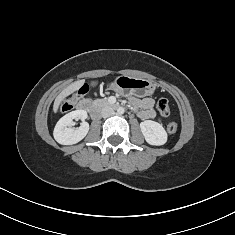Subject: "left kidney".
Returning a JSON list of instances; mask_svg holds the SVG:
<instances>
[{
  "instance_id": "obj_1",
  "label": "left kidney",
  "mask_w": 235,
  "mask_h": 235,
  "mask_svg": "<svg viewBox=\"0 0 235 235\" xmlns=\"http://www.w3.org/2000/svg\"><path fill=\"white\" fill-rule=\"evenodd\" d=\"M140 128L148 144L161 146L167 142V133L162 124L152 120H145L140 123Z\"/></svg>"
}]
</instances>
